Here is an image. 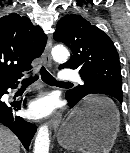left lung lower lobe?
Returning <instances> with one entry per match:
<instances>
[{
    "mask_svg": "<svg viewBox=\"0 0 130 153\" xmlns=\"http://www.w3.org/2000/svg\"><path fill=\"white\" fill-rule=\"evenodd\" d=\"M68 104H69L70 108H73L77 103L72 102V101H68Z\"/></svg>",
    "mask_w": 130,
    "mask_h": 153,
    "instance_id": "left-lung-lower-lobe-1",
    "label": "left lung lower lobe"
}]
</instances>
